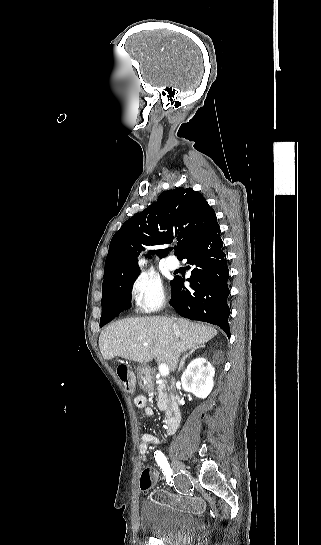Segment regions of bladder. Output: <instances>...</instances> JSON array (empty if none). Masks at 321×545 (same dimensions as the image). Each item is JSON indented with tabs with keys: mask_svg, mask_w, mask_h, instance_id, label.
<instances>
[{
	"mask_svg": "<svg viewBox=\"0 0 321 545\" xmlns=\"http://www.w3.org/2000/svg\"><path fill=\"white\" fill-rule=\"evenodd\" d=\"M140 529L166 545H187L194 541L201 525L189 511L145 500L139 510Z\"/></svg>",
	"mask_w": 321,
	"mask_h": 545,
	"instance_id": "obj_1",
	"label": "bladder"
}]
</instances>
